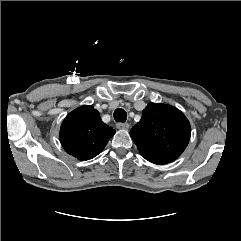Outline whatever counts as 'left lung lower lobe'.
Masks as SVG:
<instances>
[{"label":"left lung lower lobe","mask_w":241,"mask_h":241,"mask_svg":"<svg viewBox=\"0 0 241 241\" xmlns=\"http://www.w3.org/2000/svg\"><path fill=\"white\" fill-rule=\"evenodd\" d=\"M143 157L154 164H166L174 161L173 159H168V158L147 157V156H143Z\"/></svg>","instance_id":"left-lung-lower-lobe-1"}]
</instances>
